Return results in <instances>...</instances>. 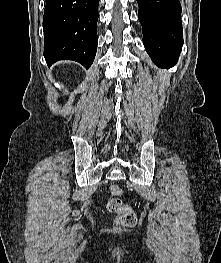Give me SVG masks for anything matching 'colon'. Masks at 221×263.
<instances>
[{
  "instance_id": "5ec220e1",
  "label": "colon",
  "mask_w": 221,
  "mask_h": 263,
  "mask_svg": "<svg viewBox=\"0 0 221 263\" xmlns=\"http://www.w3.org/2000/svg\"><path fill=\"white\" fill-rule=\"evenodd\" d=\"M109 200L107 202L108 211L117 215V221L125 227H132L136 223V216L133 209L122 203V188L117 184H112L108 188Z\"/></svg>"
}]
</instances>
